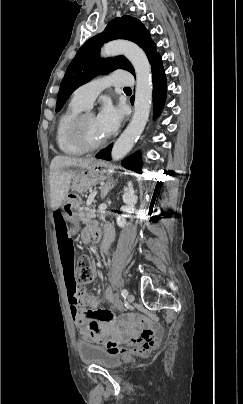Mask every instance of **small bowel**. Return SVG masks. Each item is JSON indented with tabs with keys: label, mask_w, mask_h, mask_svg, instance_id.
Instances as JSON below:
<instances>
[{
	"label": "small bowel",
	"mask_w": 243,
	"mask_h": 404,
	"mask_svg": "<svg viewBox=\"0 0 243 404\" xmlns=\"http://www.w3.org/2000/svg\"><path fill=\"white\" fill-rule=\"evenodd\" d=\"M53 222L55 234L60 254L63 276L70 300V314L75 325L79 330V335L83 341L99 343L107 338H119L120 334L116 328L114 314L103 308L85 310L79 308L77 304L71 301V294L76 291H82L78 286L74 275L75 252L72 239L67 232V224L64 214L61 210H55L53 213ZM96 230L94 224H90L83 234L84 241H88L89 234ZM114 232L107 226L104 232L103 249L106 251L113 240Z\"/></svg>",
	"instance_id": "small-bowel-1"
}]
</instances>
